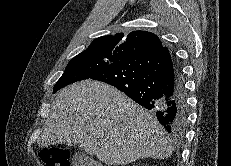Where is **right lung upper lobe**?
Wrapping results in <instances>:
<instances>
[{"instance_id": "right-lung-upper-lobe-1", "label": "right lung upper lobe", "mask_w": 231, "mask_h": 166, "mask_svg": "<svg viewBox=\"0 0 231 166\" xmlns=\"http://www.w3.org/2000/svg\"><path fill=\"white\" fill-rule=\"evenodd\" d=\"M160 47L162 43L157 35L147 31H133L126 37L123 33L99 37L89 45L87 50L117 56L123 60Z\"/></svg>"}]
</instances>
